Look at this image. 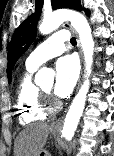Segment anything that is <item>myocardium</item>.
Instances as JSON below:
<instances>
[{
  "label": "myocardium",
  "instance_id": "1",
  "mask_svg": "<svg viewBox=\"0 0 114 156\" xmlns=\"http://www.w3.org/2000/svg\"><path fill=\"white\" fill-rule=\"evenodd\" d=\"M42 95V105L46 112L53 113L58 109V102L52 99L50 91H46L43 88H40Z\"/></svg>",
  "mask_w": 114,
  "mask_h": 156
}]
</instances>
